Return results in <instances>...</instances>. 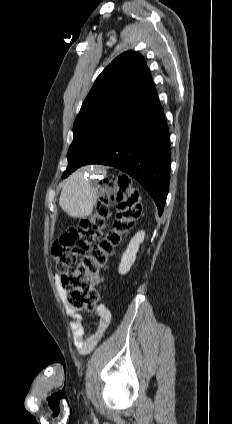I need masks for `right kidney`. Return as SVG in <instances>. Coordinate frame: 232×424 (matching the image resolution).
I'll list each match as a JSON object with an SVG mask.
<instances>
[{"mask_svg": "<svg viewBox=\"0 0 232 424\" xmlns=\"http://www.w3.org/2000/svg\"><path fill=\"white\" fill-rule=\"evenodd\" d=\"M145 232H138L133 239H131L126 251L123 253L121 263L119 265V273L121 275L126 274L136 259V254L139 250V245L143 242Z\"/></svg>", "mask_w": 232, "mask_h": 424, "instance_id": "right-kidney-1", "label": "right kidney"}]
</instances>
